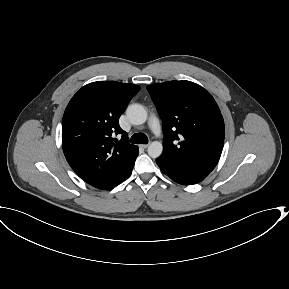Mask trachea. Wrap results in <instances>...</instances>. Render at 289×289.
<instances>
[{
    "label": "trachea",
    "instance_id": "obj_1",
    "mask_svg": "<svg viewBox=\"0 0 289 289\" xmlns=\"http://www.w3.org/2000/svg\"><path fill=\"white\" fill-rule=\"evenodd\" d=\"M130 142L134 143V144H147L148 143V138L143 133H135L131 137Z\"/></svg>",
    "mask_w": 289,
    "mask_h": 289
}]
</instances>
